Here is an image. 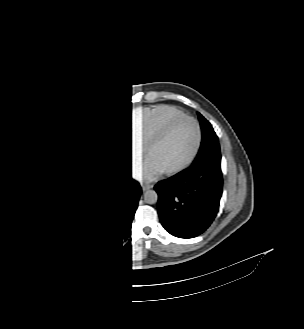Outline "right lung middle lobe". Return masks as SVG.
<instances>
[{"mask_svg": "<svg viewBox=\"0 0 304 329\" xmlns=\"http://www.w3.org/2000/svg\"><path fill=\"white\" fill-rule=\"evenodd\" d=\"M126 107V103H96L68 123L59 144L61 178L74 172L118 166L112 156L110 138L114 121Z\"/></svg>", "mask_w": 304, "mask_h": 329, "instance_id": "obj_1", "label": "right lung middle lobe"}]
</instances>
